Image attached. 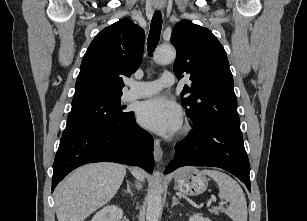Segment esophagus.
Returning <instances> with one entry per match:
<instances>
[{"instance_id": "1", "label": "esophagus", "mask_w": 307, "mask_h": 221, "mask_svg": "<svg viewBox=\"0 0 307 221\" xmlns=\"http://www.w3.org/2000/svg\"><path fill=\"white\" fill-rule=\"evenodd\" d=\"M154 159L156 162H160L163 158V150L160 145V140H154V151H153Z\"/></svg>"}]
</instances>
